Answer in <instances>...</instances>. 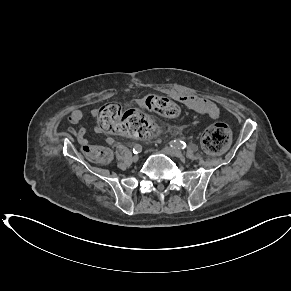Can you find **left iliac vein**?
I'll return each mask as SVG.
<instances>
[{"label":"left iliac vein","mask_w":291,"mask_h":291,"mask_svg":"<svg viewBox=\"0 0 291 291\" xmlns=\"http://www.w3.org/2000/svg\"><path fill=\"white\" fill-rule=\"evenodd\" d=\"M161 152L166 154V155L172 156V157H177V158H183L184 157L183 153L179 149H176V148H173V147H164L161 150Z\"/></svg>","instance_id":"1"}]
</instances>
